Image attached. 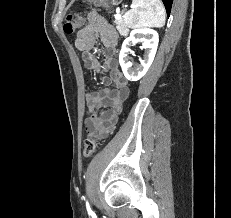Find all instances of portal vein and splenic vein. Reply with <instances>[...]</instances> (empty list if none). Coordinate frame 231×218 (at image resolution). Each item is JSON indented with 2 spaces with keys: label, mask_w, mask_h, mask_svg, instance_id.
<instances>
[{
  "label": "portal vein and splenic vein",
  "mask_w": 231,
  "mask_h": 218,
  "mask_svg": "<svg viewBox=\"0 0 231 218\" xmlns=\"http://www.w3.org/2000/svg\"><path fill=\"white\" fill-rule=\"evenodd\" d=\"M121 17H122V16H121L120 13H118V14L115 15V19H117V20H118V19H121Z\"/></svg>",
  "instance_id": "18ae733b"
}]
</instances>
